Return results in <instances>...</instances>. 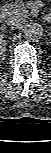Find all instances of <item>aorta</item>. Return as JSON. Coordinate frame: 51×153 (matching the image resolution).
Masks as SVG:
<instances>
[{
    "label": "aorta",
    "instance_id": "1",
    "mask_svg": "<svg viewBox=\"0 0 51 153\" xmlns=\"http://www.w3.org/2000/svg\"><path fill=\"white\" fill-rule=\"evenodd\" d=\"M42 35L43 28L38 23L29 24L24 31V36L28 41H37L42 37Z\"/></svg>",
    "mask_w": 51,
    "mask_h": 153
}]
</instances>
